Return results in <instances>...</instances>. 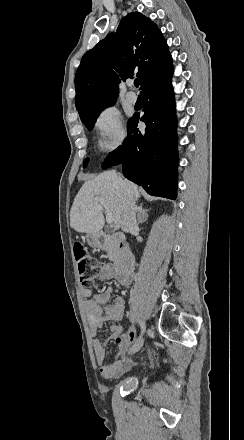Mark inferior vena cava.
I'll list each match as a JSON object with an SVG mask.
<instances>
[{"label":"inferior vena cava","instance_id":"obj_1","mask_svg":"<svg viewBox=\"0 0 244 440\" xmlns=\"http://www.w3.org/2000/svg\"><path fill=\"white\" fill-rule=\"evenodd\" d=\"M119 182L123 184L122 178H119ZM126 202L127 206L125 210H123L121 228L123 232H132V230H138L135 214L136 206L133 198H130V196H128Z\"/></svg>","mask_w":244,"mask_h":440}]
</instances>
